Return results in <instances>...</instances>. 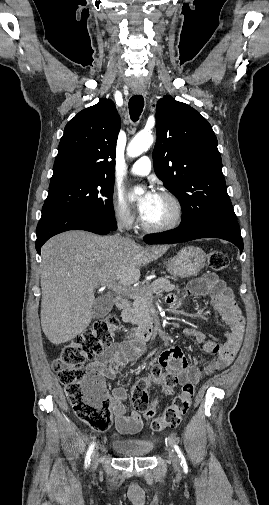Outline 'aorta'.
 <instances>
[{"label": "aorta", "mask_w": 269, "mask_h": 505, "mask_svg": "<svg viewBox=\"0 0 269 505\" xmlns=\"http://www.w3.org/2000/svg\"><path fill=\"white\" fill-rule=\"evenodd\" d=\"M154 141L151 132L142 131L139 132L128 144L127 155L129 157H137L143 152L147 151ZM144 190L142 188H136L134 194L132 195V200L137 199L138 196L142 195Z\"/></svg>", "instance_id": "aorta-1"}]
</instances>
